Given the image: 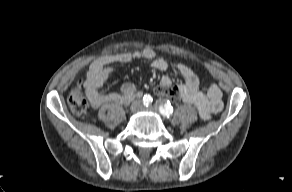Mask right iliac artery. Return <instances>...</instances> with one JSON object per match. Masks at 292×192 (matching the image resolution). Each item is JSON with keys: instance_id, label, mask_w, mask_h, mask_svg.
Returning <instances> with one entry per match:
<instances>
[{"instance_id": "1", "label": "right iliac artery", "mask_w": 292, "mask_h": 192, "mask_svg": "<svg viewBox=\"0 0 292 192\" xmlns=\"http://www.w3.org/2000/svg\"><path fill=\"white\" fill-rule=\"evenodd\" d=\"M152 101H153V99H152V97L150 95L146 94V95L143 96V104L145 106L150 105L152 103Z\"/></svg>"}]
</instances>
